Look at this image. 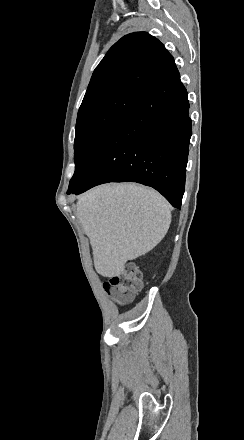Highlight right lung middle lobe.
<instances>
[{
	"label": "right lung middle lobe",
	"mask_w": 244,
	"mask_h": 440,
	"mask_svg": "<svg viewBox=\"0 0 244 440\" xmlns=\"http://www.w3.org/2000/svg\"><path fill=\"white\" fill-rule=\"evenodd\" d=\"M139 99L119 94L109 100L81 104L74 143L75 173L69 186L81 177L102 143Z\"/></svg>",
	"instance_id": "dd1d6c3e"
}]
</instances>
